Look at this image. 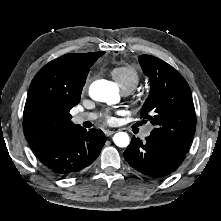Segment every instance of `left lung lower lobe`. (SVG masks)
Returning a JSON list of instances; mask_svg holds the SVG:
<instances>
[{
  "label": "left lung lower lobe",
  "instance_id": "obj_1",
  "mask_svg": "<svg viewBox=\"0 0 221 221\" xmlns=\"http://www.w3.org/2000/svg\"><path fill=\"white\" fill-rule=\"evenodd\" d=\"M123 155L134 170L152 179L170 175L186 157V153L153 135L145 142L133 137Z\"/></svg>",
  "mask_w": 221,
  "mask_h": 221
}]
</instances>
